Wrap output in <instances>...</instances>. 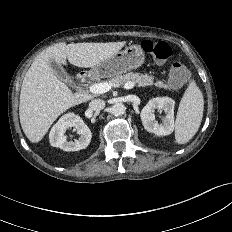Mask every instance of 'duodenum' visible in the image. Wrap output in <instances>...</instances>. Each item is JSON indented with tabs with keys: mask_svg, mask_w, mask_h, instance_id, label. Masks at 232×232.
I'll use <instances>...</instances> for the list:
<instances>
[{
	"mask_svg": "<svg viewBox=\"0 0 232 232\" xmlns=\"http://www.w3.org/2000/svg\"><path fill=\"white\" fill-rule=\"evenodd\" d=\"M86 78V74L85 73H80L78 76L79 80H84Z\"/></svg>",
	"mask_w": 232,
	"mask_h": 232,
	"instance_id": "410a0bca",
	"label": "duodenum"
}]
</instances>
